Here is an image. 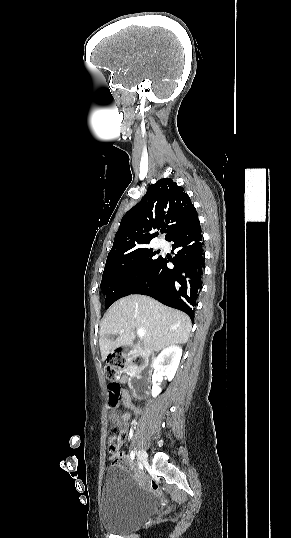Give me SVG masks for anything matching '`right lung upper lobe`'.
I'll use <instances>...</instances> for the list:
<instances>
[{
  "label": "right lung upper lobe",
  "instance_id": "obj_1",
  "mask_svg": "<svg viewBox=\"0 0 291 538\" xmlns=\"http://www.w3.org/2000/svg\"><path fill=\"white\" fill-rule=\"evenodd\" d=\"M199 221L190 197L172 179L149 186L146 195L122 218L107 259L146 248L157 233L166 228V240Z\"/></svg>",
  "mask_w": 291,
  "mask_h": 538
}]
</instances>
